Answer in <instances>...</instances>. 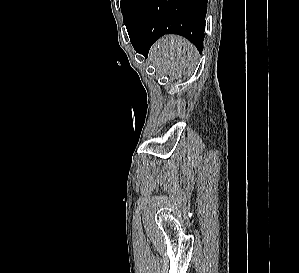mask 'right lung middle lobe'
<instances>
[{
	"mask_svg": "<svg viewBox=\"0 0 299 273\" xmlns=\"http://www.w3.org/2000/svg\"><path fill=\"white\" fill-rule=\"evenodd\" d=\"M133 1L134 0H121V10H122L124 22H126V20L129 17L131 5Z\"/></svg>",
	"mask_w": 299,
	"mask_h": 273,
	"instance_id": "right-lung-middle-lobe-1",
	"label": "right lung middle lobe"
}]
</instances>
